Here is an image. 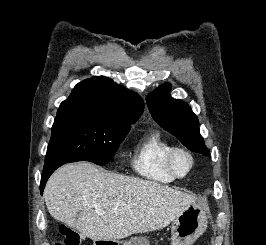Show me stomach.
<instances>
[{
    "mask_svg": "<svg viewBox=\"0 0 266 245\" xmlns=\"http://www.w3.org/2000/svg\"><path fill=\"white\" fill-rule=\"evenodd\" d=\"M208 225V217L199 205H189L171 225V245H192ZM119 245V241H111ZM125 245H149L146 237H133Z\"/></svg>",
    "mask_w": 266,
    "mask_h": 245,
    "instance_id": "obj_1",
    "label": "stomach"
}]
</instances>
